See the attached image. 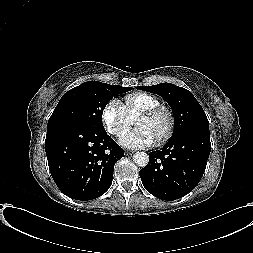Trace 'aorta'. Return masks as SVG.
Wrapping results in <instances>:
<instances>
[{
	"label": "aorta",
	"instance_id": "aorta-1",
	"mask_svg": "<svg viewBox=\"0 0 253 253\" xmlns=\"http://www.w3.org/2000/svg\"><path fill=\"white\" fill-rule=\"evenodd\" d=\"M133 161L139 167H145L149 162V156L145 152H136L133 155Z\"/></svg>",
	"mask_w": 253,
	"mask_h": 253
}]
</instances>
